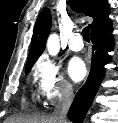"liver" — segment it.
Listing matches in <instances>:
<instances>
[{
	"label": "liver",
	"instance_id": "obj_1",
	"mask_svg": "<svg viewBox=\"0 0 118 123\" xmlns=\"http://www.w3.org/2000/svg\"><path fill=\"white\" fill-rule=\"evenodd\" d=\"M4 123H59L52 115L31 114L12 116L5 120Z\"/></svg>",
	"mask_w": 118,
	"mask_h": 123
}]
</instances>
